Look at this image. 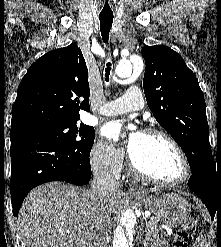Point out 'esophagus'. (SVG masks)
Instances as JSON below:
<instances>
[{
	"instance_id": "esophagus-1",
	"label": "esophagus",
	"mask_w": 221,
	"mask_h": 247,
	"mask_svg": "<svg viewBox=\"0 0 221 247\" xmlns=\"http://www.w3.org/2000/svg\"><path fill=\"white\" fill-rule=\"evenodd\" d=\"M130 192L131 193H140V190L136 187H132V188H130Z\"/></svg>"
}]
</instances>
